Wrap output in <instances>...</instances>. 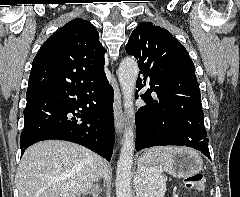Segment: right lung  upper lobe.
<instances>
[{
  "mask_svg": "<svg viewBox=\"0 0 240 197\" xmlns=\"http://www.w3.org/2000/svg\"><path fill=\"white\" fill-rule=\"evenodd\" d=\"M105 52L94 25L81 18L68 22L35 56L27 93L54 85H82L105 76Z\"/></svg>",
  "mask_w": 240,
  "mask_h": 197,
  "instance_id": "cb5924a9",
  "label": "right lung upper lobe"
}]
</instances>
